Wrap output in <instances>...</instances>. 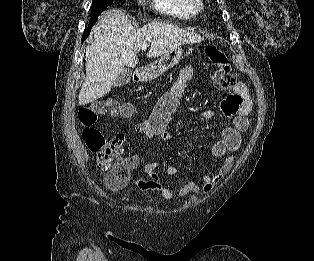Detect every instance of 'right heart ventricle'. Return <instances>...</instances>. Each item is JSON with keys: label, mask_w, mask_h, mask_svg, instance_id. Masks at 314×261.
<instances>
[{"label": "right heart ventricle", "mask_w": 314, "mask_h": 261, "mask_svg": "<svg viewBox=\"0 0 314 261\" xmlns=\"http://www.w3.org/2000/svg\"><path fill=\"white\" fill-rule=\"evenodd\" d=\"M151 6L159 14L173 18L187 19L197 13L191 0H151Z\"/></svg>", "instance_id": "right-heart-ventricle-1"}]
</instances>
